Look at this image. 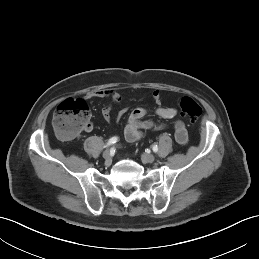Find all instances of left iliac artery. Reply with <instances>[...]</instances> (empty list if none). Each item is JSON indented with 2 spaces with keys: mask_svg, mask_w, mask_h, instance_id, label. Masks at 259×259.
<instances>
[{
  "mask_svg": "<svg viewBox=\"0 0 259 259\" xmlns=\"http://www.w3.org/2000/svg\"><path fill=\"white\" fill-rule=\"evenodd\" d=\"M152 149H153L154 152H157V151H158V146H157V145H154V146L152 147Z\"/></svg>",
  "mask_w": 259,
  "mask_h": 259,
  "instance_id": "44dca946",
  "label": "left iliac artery"
}]
</instances>
